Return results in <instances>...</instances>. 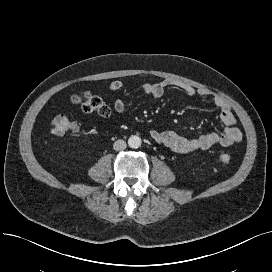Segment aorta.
Returning <instances> with one entry per match:
<instances>
[{"instance_id": "762f6f07", "label": "aorta", "mask_w": 272, "mask_h": 272, "mask_svg": "<svg viewBox=\"0 0 272 272\" xmlns=\"http://www.w3.org/2000/svg\"><path fill=\"white\" fill-rule=\"evenodd\" d=\"M141 138L137 135H132L128 139V145L130 148H139L141 146Z\"/></svg>"}]
</instances>
